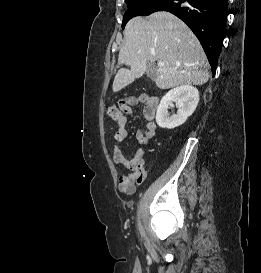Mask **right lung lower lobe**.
I'll return each mask as SVG.
<instances>
[{
  "label": "right lung lower lobe",
  "instance_id": "1",
  "mask_svg": "<svg viewBox=\"0 0 261 273\" xmlns=\"http://www.w3.org/2000/svg\"><path fill=\"white\" fill-rule=\"evenodd\" d=\"M139 11V16L169 11L183 20L199 39L215 74L225 35L227 0H153Z\"/></svg>",
  "mask_w": 261,
  "mask_h": 273
}]
</instances>
